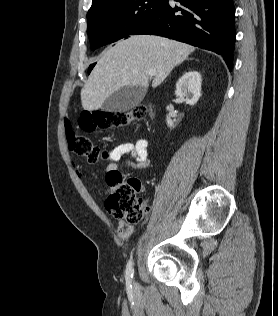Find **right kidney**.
Here are the masks:
<instances>
[{"label":"right kidney","instance_id":"1","mask_svg":"<svg viewBox=\"0 0 278 316\" xmlns=\"http://www.w3.org/2000/svg\"><path fill=\"white\" fill-rule=\"evenodd\" d=\"M201 75L197 71L184 72L176 84L175 94L185 98L187 104L195 105L201 96ZM168 127H174V122L167 116Z\"/></svg>","mask_w":278,"mask_h":316}]
</instances>
